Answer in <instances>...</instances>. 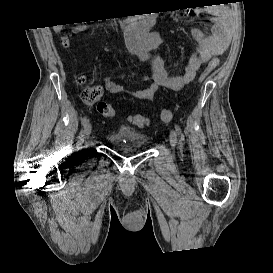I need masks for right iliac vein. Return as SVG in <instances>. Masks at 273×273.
Listing matches in <instances>:
<instances>
[{
	"label": "right iliac vein",
	"mask_w": 273,
	"mask_h": 273,
	"mask_svg": "<svg viewBox=\"0 0 273 273\" xmlns=\"http://www.w3.org/2000/svg\"><path fill=\"white\" fill-rule=\"evenodd\" d=\"M92 131V125L90 122H87L84 126V135L88 138Z\"/></svg>",
	"instance_id": "right-iliac-vein-1"
}]
</instances>
